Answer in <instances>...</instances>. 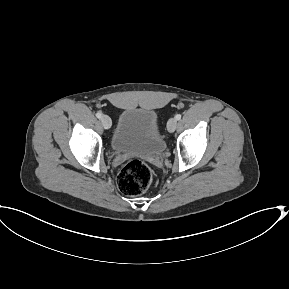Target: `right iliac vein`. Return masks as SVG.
Returning <instances> with one entry per match:
<instances>
[{"mask_svg": "<svg viewBox=\"0 0 289 289\" xmlns=\"http://www.w3.org/2000/svg\"><path fill=\"white\" fill-rule=\"evenodd\" d=\"M101 123L105 129H109L112 125V121L109 116L103 115L101 117Z\"/></svg>", "mask_w": 289, "mask_h": 289, "instance_id": "63e3f726", "label": "right iliac vein"}]
</instances>
